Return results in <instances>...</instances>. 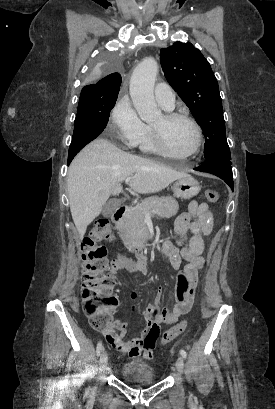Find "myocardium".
<instances>
[{"label": "myocardium", "instance_id": "1", "mask_svg": "<svg viewBox=\"0 0 275 409\" xmlns=\"http://www.w3.org/2000/svg\"><path fill=\"white\" fill-rule=\"evenodd\" d=\"M177 120H183L189 123L195 133V143L192 149L186 154L174 152L167 141V129ZM153 141L156 148L164 155L169 157H193L202 145V132L198 123L190 116L182 113L171 112L162 115V123L158 126L152 125Z\"/></svg>", "mask_w": 275, "mask_h": 409}]
</instances>
